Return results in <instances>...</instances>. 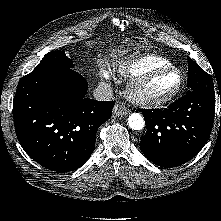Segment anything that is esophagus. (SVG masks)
Instances as JSON below:
<instances>
[{"mask_svg": "<svg viewBox=\"0 0 221 221\" xmlns=\"http://www.w3.org/2000/svg\"><path fill=\"white\" fill-rule=\"evenodd\" d=\"M129 112V109L123 103H117L113 108V113L117 116L126 115Z\"/></svg>", "mask_w": 221, "mask_h": 221, "instance_id": "obj_1", "label": "esophagus"}]
</instances>
